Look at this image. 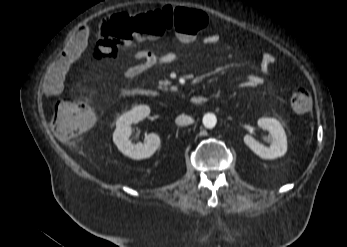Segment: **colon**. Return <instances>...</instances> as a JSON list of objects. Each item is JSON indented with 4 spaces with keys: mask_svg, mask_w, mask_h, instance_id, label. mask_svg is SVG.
I'll list each match as a JSON object with an SVG mask.
<instances>
[{
    "mask_svg": "<svg viewBox=\"0 0 347 247\" xmlns=\"http://www.w3.org/2000/svg\"><path fill=\"white\" fill-rule=\"evenodd\" d=\"M207 23L204 12L184 7H166L136 15L115 13L101 24L95 55L98 59L113 58L119 48L127 46L134 38L161 37L168 30L176 32L185 41H192ZM291 105L297 112H308L312 106L310 92L304 87L296 88L291 96ZM93 124L92 107L73 99L60 100L51 118L53 132L63 140L83 134Z\"/></svg>",
    "mask_w": 347,
    "mask_h": 247,
    "instance_id": "colon-1",
    "label": "colon"
}]
</instances>
